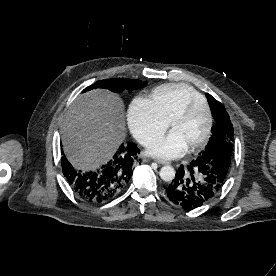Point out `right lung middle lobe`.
Returning <instances> with one entry per match:
<instances>
[{
	"mask_svg": "<svg viewBox=\"0 0 276 276\" xmlns=\"http://www.w3.org/2000/svg\"><path fill=\"white\" fill-rule=\"evenodd\" d=\"M146 83L141 82L135 79H126V78H116V79H107L97 81L96 83L90 85L89 87L85 88L83 92L96 89V88H105L109 89L113 92H122L125 89L131 91L135 89H139L141 87H145Z\"/></svg>",
	"mask_w": 276,
	"mask_h": 276,
	"instance_id": "obj_1",
	"label": "right lung middle lobe"
}]
</instances>
